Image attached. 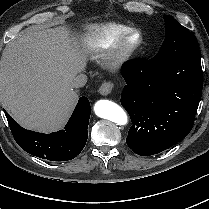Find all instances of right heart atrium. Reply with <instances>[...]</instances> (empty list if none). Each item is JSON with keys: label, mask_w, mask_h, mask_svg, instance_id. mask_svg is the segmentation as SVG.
<instances>
[{"label": "right heart atrium", "mask_w": 209, "mask_h": 209, "mask_svg": "<svg viewBox=\"0 0 209 209\" xmlns=\"http://www.w3.org/2000/svg\"><path fill=\"white\" fill-rule=\"evenodd\" d=\"M76 74V69L75 68H70L66 74V81L69 82L73 79V77Z\"/></svg>", "instance_id": "right-heart-atrium-1"}]
</instances>
